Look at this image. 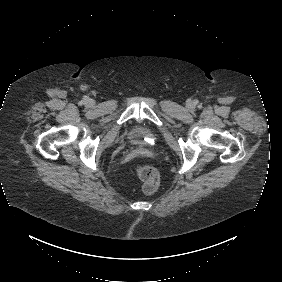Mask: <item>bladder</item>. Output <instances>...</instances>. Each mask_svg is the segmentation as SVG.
Returning <instances> with one entry per match:
<instances>
[{
  "instance_id": "1",
  "label": "bladder",
  "mask_w": 282,
  "mask_h": 282,
  "mask_svg": "<svg viewBox=\"0 0 282 282\" xmlns=\"http://www.w3.org/2000/svg\"><path fill=\"white\" fill-rule=\"evenodd\" d=\"M131 144L140 147H150L156 141V134L148 127L137 125L128 134Z\"/></svg>"
}]
</instances>
